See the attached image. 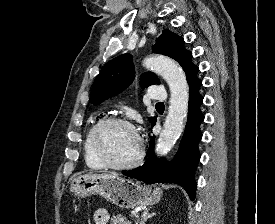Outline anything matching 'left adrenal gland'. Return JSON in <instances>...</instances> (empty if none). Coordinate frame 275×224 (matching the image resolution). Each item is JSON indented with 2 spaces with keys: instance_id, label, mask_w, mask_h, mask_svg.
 I'll return each instance as SVG.
<instances>
[{
  "instance_id": "obj_1",
  "label": "left adrenal gland",
  "mask_w": 275,
  "mask_h": 224,
  "mask_svg": "<svg viewBox=\"0 0 275 224\" xmlns=\"http://www.w3.org/2000/svg\"><path fill=\"white\" fill-rule=\"evenodd\" d=\"M149 210H150V209H146V210L142 213L141 219H140V221H139V224H145L146 221H147L148 219H150L151 217H153L154 215H156V213H149Z\"/></svg>"
}]
</instances>
